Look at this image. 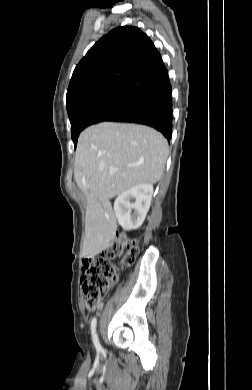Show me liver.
I'll use <instances>...</instances> for the list:
<instances>
[{"mask_svg":"<svg viewBox=\"0 0 252 390\" xmlns=\"http://www.w3.org/2000/svg\"><path fill=\"white\" fill-rule=\"evenodd\" d=\"M167 156V140L147 126L102 122L80 134L74 178L87 200L83 257L94 258L115 236L109 200L139 184L158 182Z\"/></svg>","mask_w":252,"mask_h":390,"instance_id":"6515ba94","label":"liver"}]
</instances>
